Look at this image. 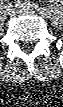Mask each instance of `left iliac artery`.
Wrapping results in <instances>:
<instances>
[{
  "instance_id": "44dca946",
  "label": "left iliac artery",
  "mask_w": 63,
  "mask_h": 107,
  "mask_svg": "<svg viewBox=\"0 0 63 107\" xmlns=\"http://www.w3.org/2000/svg\"><path fill=\"white\" fill-rule=\"evenodd\" d=\"M16 6H29L32 9H36L43 17H49L50 16V10L46 7H39L38 5H35L34 3L30 2H21L17 1Z\"/></svg>"
}]
</instances>
